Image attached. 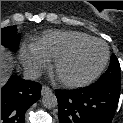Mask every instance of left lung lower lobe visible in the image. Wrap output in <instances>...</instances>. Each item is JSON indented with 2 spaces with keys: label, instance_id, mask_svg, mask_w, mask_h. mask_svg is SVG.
Returning <instances> with one entry per match:
<instances>
[{
  "label": "left lung lower lobe",
  "instance_id": "0a47b994",
  "mask_svg": "<svg viewBox=\"0 0 123 123\" xmlns=\"http://www.w3.org/2000/svg\"><path fill=\"white\" fill-rule=\"evenodd\" d=\"M121 86L95 82L78 90H57L59 123H111Z\"/></svg>",
  "mask_w": 123,
  "mask_h": 123
}]
</instances>
